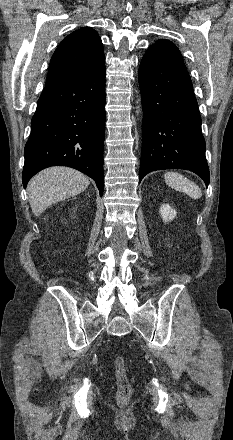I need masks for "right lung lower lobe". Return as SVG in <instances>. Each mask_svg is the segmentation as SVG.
I'll use <instances>...</instances> for the list:
<instances>
[{"mask_svg": "<svg viewBox=\"0 0 233 440\" xmlns=\"http://www.w3.org/2000/svg\"><path fill=\"white\" fill-rule=\"evenodd\" d=\"M105 68L97 74L42 91L25 145L24 188L49 166H69L95 180L103 193Z\"/></svg>", "mask_w": 233, "mask_h": 440, "instance_id": "1", "label": "right lung lower lobe"}]
</instances>
